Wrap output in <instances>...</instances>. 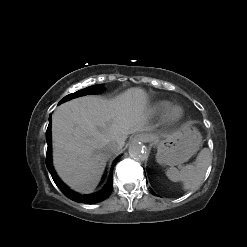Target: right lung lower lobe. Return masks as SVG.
I'll return each instance as SVG.
<instances>
[{
    "label": "right lung lower lobe",
    "mask_w": 247,
    "mask_h": 247,
    "mask_svg": "<svg viewBox=\"0 0 247 247\" xmlns=\"http://www.w3.org/2000/svg\"><path fill=\"white\" fill-rule=\"evenodd\" d=\"M61 103V102H60ZM59 103V104H60ZM51 114L49 116V125L46 131V141L48 144L47 154H46V166L55 182V184L58 186V188L73 201L80 202V203H88L93 204L97 202H101L109 197V195L112 192L113 189V183H112V171L113 167L117 161V159L114 161L111 169L110 178L108 180V183L106 186L99 192L95 194H89V195H80L74 191H71L57 176L55 173L53 167H52V159H51Z\"/></svg>",
    "instance_id": "1"
}]
</instances>
